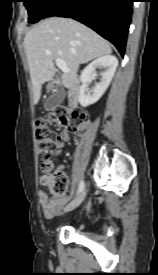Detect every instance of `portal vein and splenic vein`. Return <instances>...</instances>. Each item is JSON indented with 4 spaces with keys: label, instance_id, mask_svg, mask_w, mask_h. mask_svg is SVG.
I'll list each match as a JSON object with an SVG mask.
<instances>
[{
    "label": "portal vein and splenic vein",
    "instance_id": "18ae733b",
    "mask_svg": "<svg viewBox=\"0 0 158 275\" xmlns=\"http://www.w3.org/2000/svg\"><path fill=\"white\" fill-rule=\"evenodd\" d=\"M55 62H56L57 67L59 69H61L63 72H69V69L66 66V64H65V62H64L63 59L58 58V59L55 60Z\"/></svg>",
    "mask_w": 158,
    "mask_h": 275
}]
</instances>
